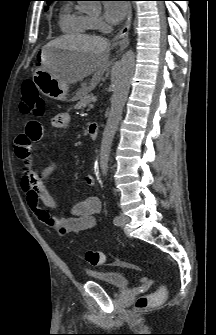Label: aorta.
<instances>
[{
	"label": "aorta",
	"instance_id": "obj_1",
	"mask_svg": "<svg viewBox=\"0 0 216 335\" xmlns=\"http://www.w3.org/2000/svg\"><path fill=\"white\" fill-rule=\"evenodd\" d=\"M135 70V54L128 50L121 58L117 67L113 94L111 96V108L108 114L106 126L100 147V168L104 176L107 175L108 162L111 152L112 141L121 120L123 108L129 93L131 79Z\"/></svg>",
	"mask_w": 216,
	"mask_h": 335
}]
</instances>
